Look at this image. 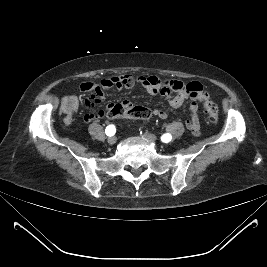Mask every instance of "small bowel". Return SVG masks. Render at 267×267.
Instances as JSON below:
<instances>
[{"instance_id": "1", "label": "small bowel", "mask_w": 267, "mask_h": 267, "mask_svg": "<svg viewBox=\"0 0 267 267\" xmlns=\"http://www.w3.org/2000/svg\"><path fill=\"white\" fill-rule=\"evenodd\" d=\"M134 85H139L150 94L164 95L172 108L178 109L183 103L190 99L192 102L189 106L190 118L186 122V126L192 134L198 135L200 132V117L198 102H205L210 99L208 93L204 90L203 85L198 81L182 82L178 80L161 79L157 76H133L121 75L107 79H102L99 82H84L81 85L82 91L89 93V97L85 100L87 112L84 119L87 122H92L108 113L113 108L119 106L129 108L132 106L128 100H123L120 103H111L105 110L95 112L93 109L97 104L104 100V89L116 87L118 89L131 88ZM80 101L76 95L65 96L61 101L60 113L64 116V122L70 124L74 115L78 112ZM152 114L160 119H166L168 114L166 111L155 108Z\"/></svg>"}]
</instances>
